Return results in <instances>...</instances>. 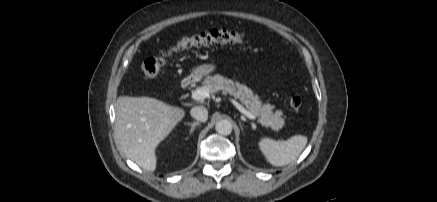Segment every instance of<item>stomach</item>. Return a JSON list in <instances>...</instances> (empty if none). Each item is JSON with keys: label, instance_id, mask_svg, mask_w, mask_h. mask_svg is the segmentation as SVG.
<instances>
[{"label": "stomach", "instance_id": "stomach-1", "mask_svg": "<svg viewBox=\"0 0 437 202\" xmlns=\"http://www.w3.org/2000/svg\"><path fill=\"white\" fill-rule=\"evenodd\" d=\"M215 69L216 65L214 64H202L194 68L191 76L196 80H200L212 73Z\"/></svg>", "mask_w": 437, "mask_h": 202}]
</instances>
